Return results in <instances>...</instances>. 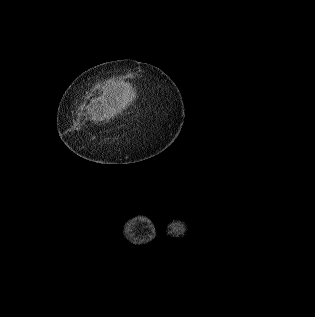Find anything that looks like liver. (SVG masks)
<instances>
[{
	"label": "liver",
	"mask_w": 315,
	"mask_h": 317,
	"mask_svg": "<svg viewBox=\"0 0 315 317\" xmlns=\"http://www.w3.org/2000/svg\"><path fill=\"white\" fill-rule=\"evenodd\" d=\"M129 100L127 95L122 93V96L113 97L101 100L99 108L92 113V119L96 121H109L110 118H114L127 106Z\"/></svg>",
	"instance_id": "obj_1"
}]
</instances>
